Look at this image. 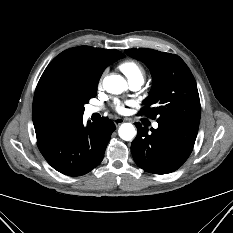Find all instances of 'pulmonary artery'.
Here are the masks:
<instances>
[{"mask_svg":"<svg viewBox=\"0 0 233 233\" xmlns=\"http://www.w3.org/2000/svg\"><path fill=\"white\" fill-rule=\"evenodd\" d=\"M129 84H130V87H131V89H133V90H138L140 87H141V85L143 84V81L142 80H136V81H131V82H129ZM99 111V108H97V107H93V106H90V107H88V109H87V113L89 114V115H91V114H93V113H96V112H98ZM152 126H153V128H158V123L157 122H154L153 124H152Z\"/></svg>","mask_w":233,"mask_h":233,"instance_id":"obj_1","label":"pulmonary artery"}]
</instances>
